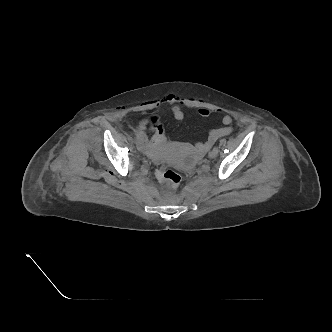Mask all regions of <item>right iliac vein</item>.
Returning a JSON list of instances; mask_svg holds the SVG:
<instances>
[{
  "label": "right iliac vein",
  "mask_w": 332,
  "mask_h": 332,
  "mask_svg": "<svg viewBox=\"0 0 332 332\" xmlns=\"http://www.w3.org/2000/svg\"><path fill=\"white\" fill-rule=\"evenodd\" d=\"M136 146H137V149L140 150V151H142L144 149V140H143V138L138 137L136 139Z\"/></svg>",
  "instance_id": "right-iliac-vein-1"
}]
</instances>
